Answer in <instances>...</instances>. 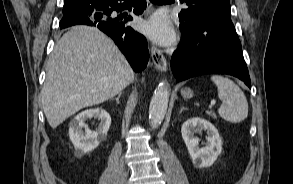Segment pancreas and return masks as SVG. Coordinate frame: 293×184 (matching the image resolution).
Segmentation results:
<instances>
[{"instance_id": "1", "label": "pancreas", "mask_w": 293, "mask_h": 184, "mask_svg": "<svg viewBox=\"0 0 293 184\" xmlns=\"http://www.w3.org/2000/svg\"><path fill=\"white\" fill-rule=\"evenodd\" d=\"M209 114H210L213 118H216V114H215V113L210 112Z\"/></svg>"}]
</instances>
